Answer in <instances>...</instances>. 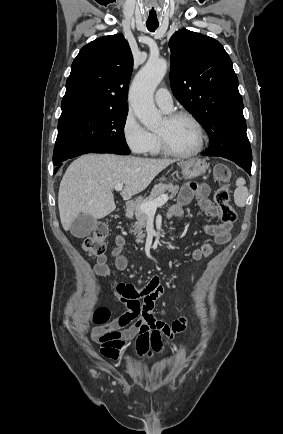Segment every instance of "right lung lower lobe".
Returning a JSON list of instances; mask_svg holds the SVG:
<instances>
[{
	"label": "right lung lower lobe",
	"instance_id": "98d812e1",
	"mask_svg": "<svg viewBox=\"0 0 283 434\" xmlns=\"http://www.w3.org/2000/svg\"><path fill=\"white\" fill-rule=\"evenodd\" d=\"M86 153H113V152L107 151V150H89V151H83V152L77 153V154L73 155L71 158H74V157H77V156H80V155L86 154ZM114 154H116V153H114ZM61 165H62V163L56 165L57 167L55 169V172L58 170V168Z\"/></svg>",
	"mask_w": 283,
	"mask_h": 434
}]
</instances>
